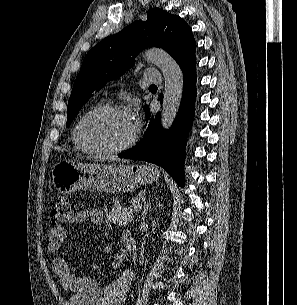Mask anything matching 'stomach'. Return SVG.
Segmentation results:
<instances>
[{"label":"stomach","instance_id":"1","mask_svg":"<svg viewBox=\"0 0 297 305\" xmlns=\"http://www.w3.org/2000/svg\"><path fill=\"white\" fill-rule=\"evenodd\" d=\"M158 168L147 165L85 164L72 160L57 162L51 171L54 188L63 195L77 190L101 193L131 192L155 182Z\"/></svg>","mask_w":297,"mask_h":305}]
</instances>
